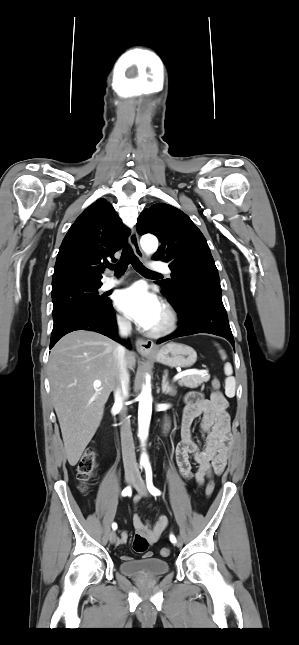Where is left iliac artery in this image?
Masks as SVG:
<instances>
[{
	"label": "left iliac artery",
	"mask_w": 299,
	"mask_h": 645,
	"mask_svg": "<svg viewBox=\"0 0 299 645\" xmlns=\"http://www.w3.org/2000/svg\"><path fill=\"white\" fill-rule=\"evenodd\" d=\"M145 470H146V483H147V488L149 492L154 496L160 495V491L153 485L152 470L150 465H146ZM170 541L172 543H176V538L173 534H170Z\"/></svg>",
	"instance_id": "left-iliac-artery-1"
}]
</instances>
